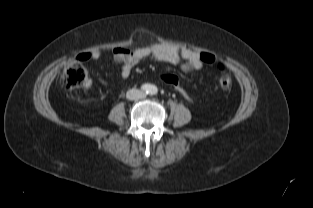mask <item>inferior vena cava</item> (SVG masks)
I'll return each instance as SVG.
<instances>
[{"label":"inferior vena cava","instance_id":"1","mask_svg":"<svg viewBox=\"0 0 313 208\" xmlns=\"http://www.w3.org/2000/svg\"><path fill=\"white\" fill-rule=\"evenodd\" d=\"M126 97L130 100H134L144 98L145 94L140 90L132 89L127 92Z\"/></svg>","mask_w":313,"mask_h":208}]
</instances>
